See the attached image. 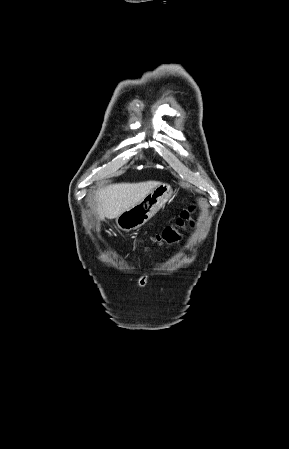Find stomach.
<instances>
[{
	"label": "stomach",
	"instance_id": "obj_1",
	"mask_svg": "<svg viewBox=\"0 0 289 449\" xmlns=\"http://www.w3.org/2000/svg\"><path fill=\"white\" fill-rule=\"evenodd\" d=\"M172 195L173 190L169 184H158L139 203L117 216V228L130 231L143 226L171 199Z\"/></svg>",
	"mask_w": 289,
	"mask_h": 449
}]
</instances>
